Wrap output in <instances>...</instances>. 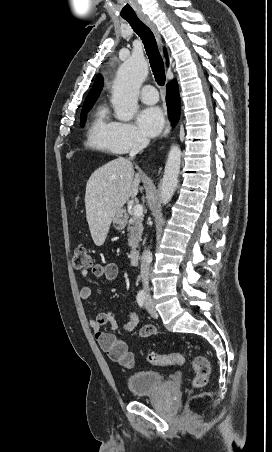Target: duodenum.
<instances>
[{
	"label": "duodenum",
	"instance_id": "duodenum-1",
	"mask_svg": "<svg viewBox=\"0 0 272 452\" xmlns=\"http://www.w3.org/2000/svg\"><path fill=\"white\" fill-rule=\"evenodd\" d=\"M139 254H140V252H139L138 248H134V249L131 250L130 255H129V259H130L131 264L137 263L138 258H139Z\"/></svg>",
	"mask_w": 272,
	"mask_h": 452
}]
</instances>
